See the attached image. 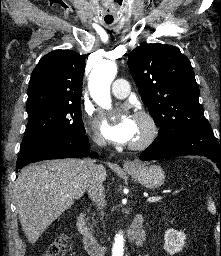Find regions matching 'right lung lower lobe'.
<instances>
[{"label":"right lung lower lobe","instance_id":"obj_1","mask_svg":"<svg viewBox=\"0 0 221 256\" xmlns=\"http://www.w3.org/2000/svg\"><path fill=\"white\" fill-rule=\"evenodd\" d=\"M89 155V140L85 133L63 132L43 137L20 149L16 169L26 164L62 158H83ZM91 158L98 157L91 153ZM17 172V171H16Z\"/></svg>","mask_w":221,"mask_h":256}]
</instances>
